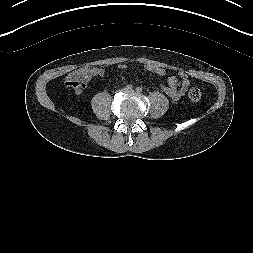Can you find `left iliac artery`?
Here are the masks:
<instances>
[{
    "label": "left iliac artery",
    "mask_w": 253,
    "mask_h": 253,
    "mask_svg": "<svg viewBox=\"0 0 253 253\" xmlns=\"http://www.w3.org/2000/svg\"><path fill=\"white\" fill-rule=\"evenodd\" d=\"M142 88L141 87H136V92H138V93H140V92H142Z\"/></svg>",
    "instance_id": "obj_1"
}]
</instances>
